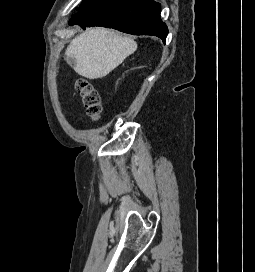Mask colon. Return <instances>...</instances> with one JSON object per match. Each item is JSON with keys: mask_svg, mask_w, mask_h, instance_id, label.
Masks as SVG:
<instances>
[{"mask_svg": "<svg viewBox=\"0 0 255 272\" xmlns=\"http://www.w3.org/2000/svg\"><path fill=\"white\" fill-rule=\"evenodd\" d=\"M75 90L79 94L87 114L94 120H98L102 113L101 101L98 92L85 79H77L74 83Z\"/></svg>", "mask_w": 255, "mask_h": 272, "instance_id": "colon-1", "label": "colon"}]
</instances>
